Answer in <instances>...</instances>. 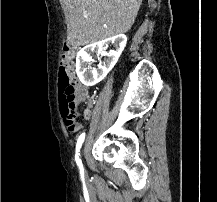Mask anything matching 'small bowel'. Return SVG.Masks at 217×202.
Returning a JSON list of instances; mask_svg holds the SVG:
<instances>
[{"label":"small bowel","mask_w":217,"mask_h":202,"mask_svg":"<svg viewBox=\"0 0 217 202\" xmlns=\"http://www.w3.org/2000/svg\"><path fill=\"white\" fill-rule=\"evenodd\" d=\"M75 90L78 93L77 101L79 103H82L85 101L88 102V108L84 112V119H89L92 116L91 101L88 99V96L86 95L84 87L82 86V84L78 83L76 80H75ZM79 126L82 127V123H80Z\"/></svg>","instance_id":"obj_1"}]
</instances>
